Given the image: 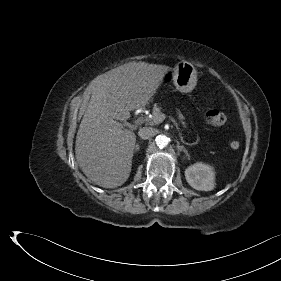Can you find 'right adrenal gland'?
I'll return each mask as SVG.
<instances>
[{
  "label": "right adrenal gland",
  "instance_id": "obj_1",
  "mask_svg": "<svg viewBox=\"0 0 281 281\" xmlns=\"http://www.w3.org/2000/svg\"><path fill=\"white\" fill-rule=\"evenodd\" d=\"M139 149H140L139 144H136V145H135V151L137 152V151H139Z\"/></svg>",
  "mask_w": 281,
  "mask_h": 281
}]
</instances>
